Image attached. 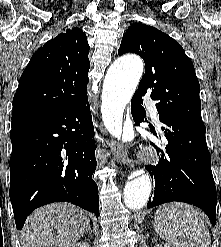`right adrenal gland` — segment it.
<instances>
[{"label": "right adrenal gland", "instance_id": "2a0ac1e0", "mask_svg": "<svg viewBox=\"0 0 221 247\" xmlns=\"http://www.w3.org/2000/svg\"><path fill=\"white\" fill-rule=\"evenodd\" d=\"M87 232H91V227L90 226L88 227V230L86 231V233Z\"/></svg>", "mask_w": 221, "mask_h": 247}]
</instances>
